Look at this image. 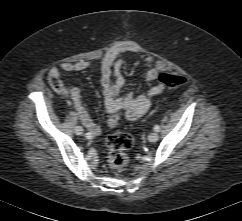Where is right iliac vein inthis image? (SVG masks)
Here are the masks:
<instances>
[{
	"label": "right iliac vein",
	"mask_w": 242,
	"mask_h": 221,
	"mask_svg": "<svg viewBox=\"0 0 242 221\" xmlns=\"http://www.w3.org/2000/svg\"><path fill=\"white\" fill-rule=\"evenodd\" d=\"M75 133H76L77 135H82V134H83V129H82V127H81V126H77V127L75 128Z\"/></svg>",
	"instance_id": "right-iliac-vein-1"
}]
</instances>
